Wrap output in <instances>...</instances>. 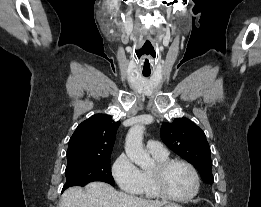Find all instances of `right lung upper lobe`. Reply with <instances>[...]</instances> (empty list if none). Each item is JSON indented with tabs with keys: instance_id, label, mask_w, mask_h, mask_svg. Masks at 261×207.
<instances>
[{
	"instance_id": "1",
	"label": "right lung upper lobe",
	"mask_w": 261,
	"mask_h": 207,
	"mask_svg": "<svg viewBox=\"0 0 261 207\" xmlns=\"http://www.w3.org/2000/svg\"><path fill=\"white\" fill-rule=\"evenodd\" d=\"M119 125L106 114H95L83 121L69 140L68 162L111 157Z\"/></svg>"
}]
</instances>
